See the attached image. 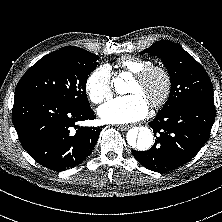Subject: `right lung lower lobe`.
Instances as JSON below:
<instances>
[{
  "mask_svg": "<svg viewBox=\"0 0 222 222\" xmlns=\"http://www.w3.org/2000/svg\"><path fill=\"white\" fill-rule=\"evenodd\" d=\"M91 107L65 104L42 95H15L12 120L21 145L38 163L55 171L81 163L93 150L100 127H79L93 120Z\"/></svg>",
  "mask_w": 222,
  "mask_h": 222,
  "instance_id": "right-lung-lower-lobe-1",
  "label": "right lung lower lobe"
}]
</instances>
